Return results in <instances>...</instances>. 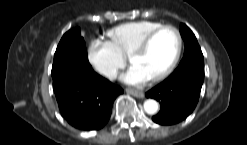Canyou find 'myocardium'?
<instances>
[{"mask_svg": "<svg viewBox=\"0 0 247 145\" xmlns=\"http://www.w3.org/2000/svg\"><path fill=\"white\" fill-rule=\"evenodd\" d=\"M163 30H171L174 32L176 39H177V47H176V51L175 54L171 60V62L163 69L161 70L159 73H157L156 75H154L153 77H151L150 79L152 81H158L163 79L164 77H166L167 75H169L173 69L176 67L181 53H182V48H183V38L182 35L180 33V31L172 26V25H161L157 28H155L154 30L150 31L148 34H146L139 43H137L132 50L129 53V61L130 63H132V58L136 55L139 54L141 52H144L148 46L150 45L152 39L161 31Z\"/></svg>", "mask_w": 247, "mask_h": 145, "instance_id": "myocardium-1", "label": "myocardium"}]
</instances>
